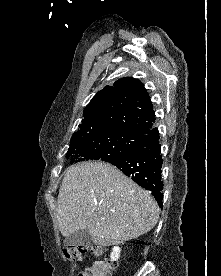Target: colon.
Masks as SVG:
<instances>
[{
  "label": "colon",
  "mask_w": 221,
  "mask_h": 276,
  "mask_svg": "<svg viewBox=\"0 0 221 276\" xmlns=\"http://www.w3.org/2000/svg\"><path fill=\"white\" fill-rule=\"evenodd\" d=\"M95 254H100L99 247H93ZM88 251L87 246H68L64 248V256L70 261H80L83 255ZM117 266V262L113 260L97 259L91 265L86 267L78 276H111V271Z\"/></svg>",
  "instance_id": "colon-1"
}]
</instances>
